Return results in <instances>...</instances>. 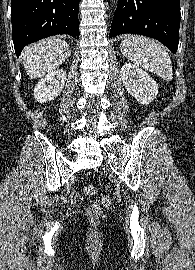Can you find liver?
I'll list each match as a JSON object with an SVG mask.
<instances>
[{"label": "liver", "instance_id": "liver-1", "mask_svg": "<svg viewBox=\"0 0 195 270\" xmlns=\"http://www.w3.org/2000/svg\"><path fill=\"white\" fill-rule=\"evenodd\" d=\"M70 53L66 41L49 37L25 47L21 58L31 79L40 78L54 71L68 58Z\"/></svg>", "mask_w": 195, "mask_h": 270}]
</instances>
